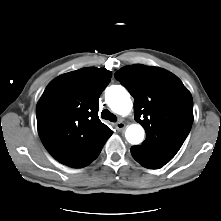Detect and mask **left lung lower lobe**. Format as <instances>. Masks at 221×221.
Returning <instances> with one entry per match:
<instances>
[{"mask_svg": "<svg viewBox=\"0 0 221 221\" xmlns=\"http://www.w3.org/2000/svg\"><path fill=\"white\" fill-rule=\"evenodd\" d=\"M131 154L138 163L149 169L162 168L174 157L146 144L132 146Z\"/></svg>", "mask_w": 221, "mask_h": 221, "instance_id": "obj_1", "label": "left lung lower lobe"}]
</instances>
